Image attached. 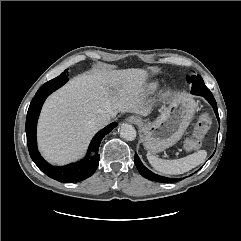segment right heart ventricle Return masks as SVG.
<instances>
[{
    "label": "right heart ventricle",
    "instance_id": "right-heart-ventricle-1",
    "mask_svg": "<svg viewBox=\"0 0 241 241\" xmlns=\"http://www.w3.org/2000/svg\"><path fill=\"white\" fill-rule=\"evenodd\" d=\"M158 87V82L153 81L148 85V90L150 92L154 91Z\"/></svg>",
    "mask_w": 241,
    "mask_h": 241
}]
</instances>
